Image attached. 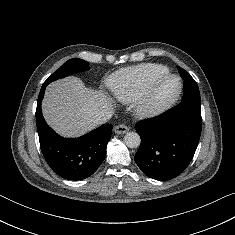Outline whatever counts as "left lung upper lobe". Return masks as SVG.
Returning a JSON list of instances; mask_svg holds the SVG:
<instances>
[{
    "mask_svg": "<svg viewBox=\"0 0 235 235\" xmlns=\"http://www.w3.org/2000/svg\"><path fill=\"white\" fill-rule=\"evenodd\" d=\"M178 70H179V73H180L181 77H186V78L190 79V81L192 82V87L194 88L193 92L189 96H187V95L185 96L183 94L182 99H184V97H188L190 99L201 100L200 93H199V88H198V85L195 82V80L183 68L178 67Z\"/></svg>",
    "mask_w": 235,
    "mask_h": 235,
    "instance_id": "5c2ea615",
    "label": "left lung upper lobe"
}]
</instances>
